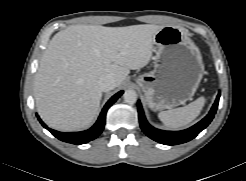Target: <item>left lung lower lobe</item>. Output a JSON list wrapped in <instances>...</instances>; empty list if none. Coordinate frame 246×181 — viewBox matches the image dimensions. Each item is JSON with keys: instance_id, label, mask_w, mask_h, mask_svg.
I'll use <instances>...</instances> for the list:
<instances>
[{"instance_id": "obj_1", "label": "left lung lower lobe", "mask_w": 246, "mask_h": 181, "mask_svg": "<svg viewBox=\"0 0 246 181\" xmlns=\"http://www.w3.org/2000/svg\"><path fill=\"white\" fill-rule=\"evenodd\" d=\"M220 98V92L218 93V96L216 98V101L214 105L212 106L210 112L208 115L202 119L200 122L195 124L194 126L182 130V131H162L155 129L152 127L146 120L144 116V112L141 106L140 101H138V113H139V120H140V126L143 132L150 137L151 139L165 145H177L182 144L185 142H188L195 138L203 129H205L209 123L214 118V115L217 111L218 102Z\"/></svg>"}]
</instances>
